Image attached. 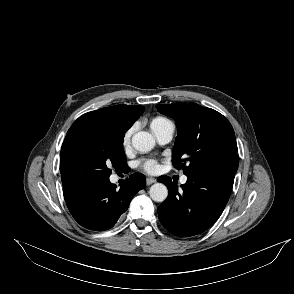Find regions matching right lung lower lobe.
<instances>
[{
	"mask_svg": "<svg viewBox=\"0 0 294 294\" xmlns=\"http://www.w3.org/2000/svg\"><path fill=\"white\" fill-rule=\"evenodd\" d=\"M145 185V177L135 173L120 189L109 178H104L67 184L63 186V194L77 223L90 230L104 231L115 225L133 196Z\"/></svg>",
	"mask_w": 294,
	"mask_h": 294,
	"instance_id": "98d812e1",
	"label": "right lung lower lobe"
}]
</instances>
